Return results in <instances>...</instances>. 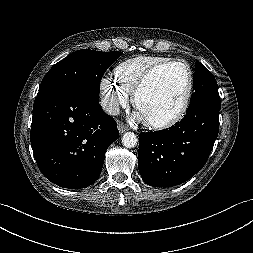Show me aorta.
I'll list each match as a JSON object with an SVG mask.
<instances>
[{
    "label": "aorta",
    "instance_id": "aorta-1",
    "mask_svg": "<svg viewBox=\"0 0 253 253\" xmlns=\"http://www.w3.org/2000/svg\"><path fill=\"white\" fill-rule=\"evenodd\" d=\"M138 138L133 132H126L122 137V144L126 148H133L137 145Z\"/></svg>",
    "mask_w": 253,
    "mask_h": 253
}]
</instances>
